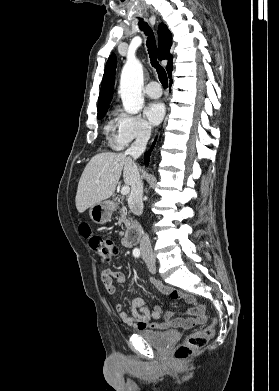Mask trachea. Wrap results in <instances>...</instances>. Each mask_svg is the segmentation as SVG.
<instances>
[{
	"label": "trachea",
	"mask_w": 279,
	"mask_h": 391,
	"mask_svg": "<svg viewBox=\"0 0 279 391\" xmlns=\"http://www.w3.org/2000/svg\"><path fill=\"white\" fill-rule=\"evenodd\" d=\"M139 26L142 31L147 35V48L150 56L151 65L156 69L159 80L163 87L167 88L168 78L165 69L157 61V46L154 33L147 23L140 19Z\"/></svg>",
	"instance_id": "obj_1"
}]
</instances>
